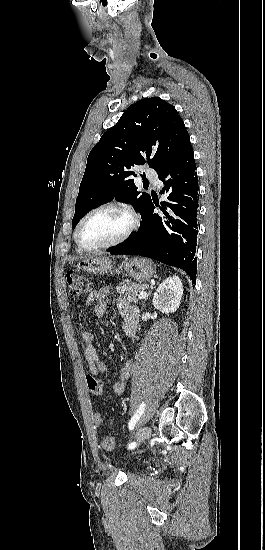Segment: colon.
Returning a JSON list of instances; mask_svg holds the SVG:
<instances>
[{
	"instance_id": "1",
	"label": "colon",
	"mask_w": 265,
	"mask_h": 550,
	"mask_svg": "<svg viewBox=\"0 0 265 550\" xmlns=\"http://www.w3.org/2000/svg\"><path fill=\"white\" fill-rule=\"evenodd\" d=\"M66 281L68 285L69 295L72 297H80L83 294L87 293L90 290L89 280L82 275L77 270H69L66 273ZM88 388L90 392L96 396L100 397L101 385L100 382L91 375H88L86 378ZM95 419L99 421L101 419L100 415H96ZM115 445V439L113 436H105L102 441V446L106 449H111Z\"/></svg>"
}]
</instances>
